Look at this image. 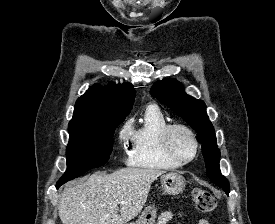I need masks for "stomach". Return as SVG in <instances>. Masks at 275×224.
Returning <instances> with one entry per match:
<instances>
[{
	"mask_svg": "<svg viewBox=\"0 0 275 224\" xmlns=\"http://www.w3.org/2000/svg\"><path fill=\"white\" fill-rule=\"evenodd\" d=\"M184 177L176 173H168L161 177V188L164 194L178 195L185 189ZM157 210L153 205L147 206L135 222L129 224H155Z\"/></svg>",
	"mask_w": 275,
	"mask_h": 224,
	"instance_id": "stomach-1",
	"label": "stomach"
}]
</instances>
